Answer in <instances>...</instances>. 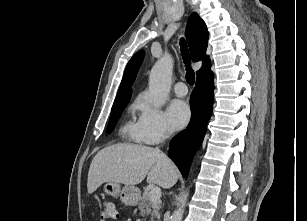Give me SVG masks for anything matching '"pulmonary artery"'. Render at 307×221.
I'll use <instances>...</instances> for the list:
<instances>
[{"mask_svg":"<svg viewBox=\"0 0 307 221\" xmlns=\"http://www.w3.org/2000/svg\"><path fill=\"white\" fill-rule=\"evenodd\" d=\"M174 92L177 96L183 97L186 96L188 93V89L183 82H178L174 85Z\"/></svg>","mask_w":307,"mask_h":221,"instance_id":"pulmonary-artery-1","label":"pulmonary artery"}]
</instances>
